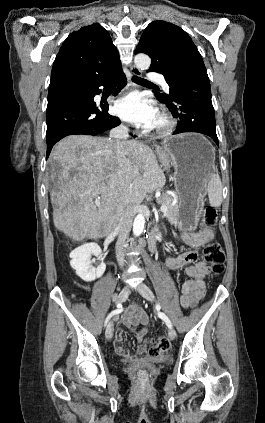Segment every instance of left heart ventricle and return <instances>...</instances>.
I'll return each mask as SVG.
<instances>
[{"instance_id":"obj_1","label":"left heart ventricle","mask_w":265,"mask_h":423,"mask_svg":"<svg viewBox=\"0 0 265 423\" xmlns=\"http://www.w3.org/2000/svg\"><path fill=\"white\" fill-rule=\"evenodd\" d=\"M161 123H162V120H161V117H160V116H159V114H158V116H157V118H156V120H155V122H154V124H153L152 128H153V127H157V126H159Z\"/></svg>"}]
</instances>
